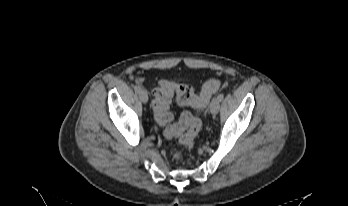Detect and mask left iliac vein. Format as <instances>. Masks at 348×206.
Here are the masks:
<instances>
[{
    "instance_id": "1",
    "label": "left iliac vein",
    "mask_w": 348,
    "mask_h": 206,
    "mask_svg": "<svg viewBox=\"0 0 348 206\" xmlns=\"http://www.w3.org/2000/svg\"><path fill=\"white\" fill-rule=\"evenodd\" d=\"M219 108H220V101L218 100V98H214L210 104V112L213 115H216L219 112Z\"/></svg>"
}]
</instances>
